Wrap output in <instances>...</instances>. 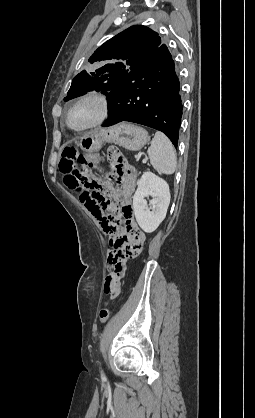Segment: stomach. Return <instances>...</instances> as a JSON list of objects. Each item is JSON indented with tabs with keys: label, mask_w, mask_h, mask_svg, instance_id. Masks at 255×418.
<instances>
[{
	"label": "stomach",
	"mask_w": 255,
	"mask_h": 418,
	"mask_svg": "<svg viewBox=\"0 0 255 418\" xmlns=\"http://www.w3.org/2000/svg\"><path fill=\"white\" fill-rule=\"evenodd\" d=\"M150 140L148 132L137 125L122 123L111 128H100L89 132L80 140L86 152L98 151L104 142L115 143L128 150L138 151Z\"/></svg>",
	"instance_id": "obj_1"
}]
</instances>
